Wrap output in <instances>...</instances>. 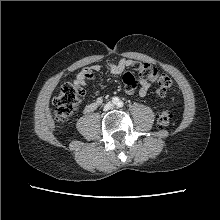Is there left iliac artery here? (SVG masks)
I'll list each match as a JSON object with an SVG mask.
<instances>
[{
  "instance_id": "left-iliac-artery-1",
  "label": "left iliac artery",
  "mask_w": 220,
  "mask_h": 220,
  "mask_svg": "<svg viewBox=\"0 0 220 220\" xmlns=\"http://www.w3.org/2000/svg\"><path fill=\"white\" fill-rule=\"evenodd\" d=\"M117 105L118 107H123L124 103L122 101H119Z\"/></svg>"
}]
</instances>
